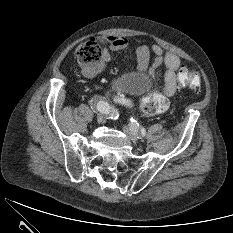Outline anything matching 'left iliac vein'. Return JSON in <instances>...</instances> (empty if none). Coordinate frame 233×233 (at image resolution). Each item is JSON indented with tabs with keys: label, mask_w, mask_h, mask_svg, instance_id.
Masks as SVG:
<instances>
[{
	"label": "left iliac vein",
	"mask_w": 233,
	"mask_h": 233,
	"mask_svg": "<svg viewBox=\"0 0 233 233\" xmlns=\"http://www.w3.org/2000/svg\"><path fill=\"white\" fill-rule=\"evenodd\" d=\"M124 132L130 138V140L135 143L139 142L142 137L140 132L136 130L132 124H129L128 127H125Z\"/></svg>",
	"instance_id": "left-iliac-vein-1"
}]
</instances>
